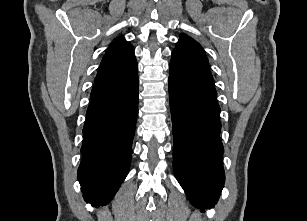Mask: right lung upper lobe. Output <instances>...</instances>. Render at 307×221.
I'll return each mask as SVG.
<instances>
[{"label":"right lung upper lobe","instance_id":"right-lung-upper-lobe-1","mask_svg":"<svg viewBox=\"0 0 307 221\" xmlns=\"http://www.w3.org/2000/svg\"><path fill=\"white\" fill-rule=\"evenodd\" d=\"M133 50L124 37L113 40L101 61L90 98L123 89L138 77Z\"/></svg>","mask_w":307,"mask_h":221}]
</instances>
